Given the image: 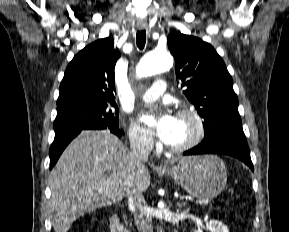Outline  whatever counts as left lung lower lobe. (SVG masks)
I'll use <instances>...</instances> for the list:
<instances>
[{
    "label": "left lung lower lobe",
    "mask_w": 289,
    "mask_h": 232,
    "mask_svg": "<svg viewBox=\"0 0 289 232\" xmlns=\"http://www.w3.org/2000/svg\"><path fill=\"white\" fill-rule=\"evenodd\" d=\"M199 154H225L236 157L248 165L254 171L250 158V152L245 136H228L213 141L201 143L196 147L185 151L183 155Z\"/></svg>",
    "instance_id": "1"
}]
</instances>
